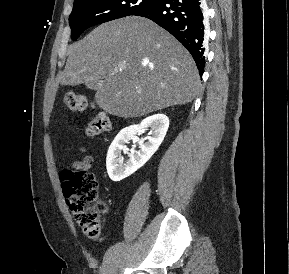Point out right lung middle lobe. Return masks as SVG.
I'll return each mask as SVG.
<instances>
[{
	"instance_id": "1",
	"label": "right lung middle lobe",
	"mask_w": 289,
	"mask_h": 274,
	"mask_svg": "<svg viewBox=\"0 0 289 274\" xmlns=\"http://www.w3.org/2000/svg\"><path fill=\"white\" fill-rule=\"evenodd\" d=\"M155 0H75L69 17L72 40L87 28L148 8Z\"/></svg>"
}]
</instances>
